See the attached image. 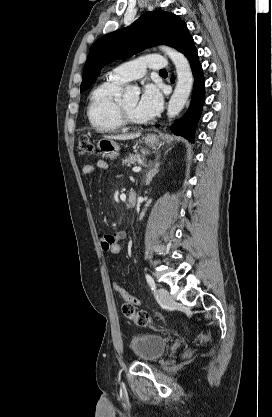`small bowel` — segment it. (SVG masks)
I'll list each match as a JSON object with an SVG mask.
<instances>
[{
	"instance_id": "small-bowel-1",
	"label": "small bowel",
	"mask_w": 272,
	"mask_h": 417,
	"mask_svg": "<svg viewBox=\"0 0 272 417\" xmlns=\"http://www.w3.org/2000/svg\"><path fill=\"white\" fill-rule=\"evenodd\" d=\"M108 168V164L107 162H105L104 160H98L95 165L92 164H86L82 167V173L84 175H91L92 173H94V171L96 169H101V170H105ZM126 236L124 231H115L112 233H108L106 235L103 236L102 240H101V247L104 251H107V246L108 244L114 240V239H118V238H122L124 239Z\"/></svg>"
}]
</instances>
